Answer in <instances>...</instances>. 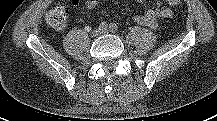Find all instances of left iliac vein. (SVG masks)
Returning a JSON list of instances; mask_svg holds the SVG:
<instances>
[{
    "mask_svg": "<svg viewBox=\"0 0 217 121\" xmlns=\"http://www.w3.org/2000/svg\"><path fill=\"white\" fill-rule=\"evenodd\" d=\"M101 33H102V34H107V33H108V30H103Z\"/></svg>",
    "mask_w": 217,
    "mask_h": 121,
    "instance_id": "left-iliac-vein-1",
    "label": "left iliac vein"
}]
</instances>
